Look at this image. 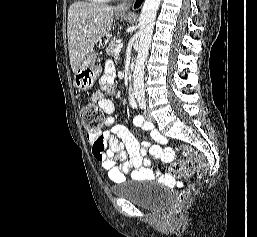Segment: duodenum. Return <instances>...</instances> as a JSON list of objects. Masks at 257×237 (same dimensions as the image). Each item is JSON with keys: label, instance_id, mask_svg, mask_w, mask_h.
Wrapping results in <instances>:
<instances>
[{"label": "duodenum", "instance_id": "1", "mask_svg": "<svg viewBox=\"0 0 257 237\" xmlns=\"http://www.w3.org/2000/svg\"><path fill=\"white\" fill-rule=\"evenodd\" d=\"M128 99H129L130 104L132 106H135V104H136L135 94H134V90H133L132 86H129V88H128Z\"/></svg>", "mask_w": 257, "mask_h": 237}]
</instances>
